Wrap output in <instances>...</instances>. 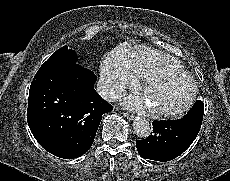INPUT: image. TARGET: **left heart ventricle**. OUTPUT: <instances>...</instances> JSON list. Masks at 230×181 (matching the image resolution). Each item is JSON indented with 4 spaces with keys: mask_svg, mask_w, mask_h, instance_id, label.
<instances>
[{
    "mask_svg": "<svg viewBox=\"0 0 230 181\" xmlns=\"http://www.w3.org/2000/svg\"><path fill=\"white\" fill-rule=\"evenodd\" d=\"M190 92L191 85L187 80L168 77L148 85L143 96L152 108L171 110L180 107Z\"/></svg>",
    "mask_w": 230,
    "mask_h": 181,
    "instance_id": "b2bd125f",
    "label": "left heart ventricle"
}]
</instances>
